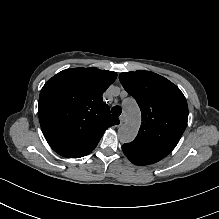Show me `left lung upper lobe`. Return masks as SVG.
I'll return each mask as SVG.
<instances>
[{
  "mask_svg": "<svg viewBox=\"0 0 219 219\" xmlns=\"http://www.w3.org/2000/svg\"><path fill=\"white\" fill-rule=\"evenodd\" d=\"M119 80L142 114L138 135L122 146L123 152L144 164L156 163L176 147L185 131L187 101L176 85L150 71L124 72Z\"/></svg>",
  "mask_w": 219,
  "mask_h": 219,
  "instance_id": "1",
  "label": "left lung upper lobe"
}]
</instances>
